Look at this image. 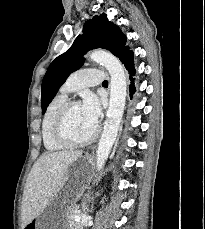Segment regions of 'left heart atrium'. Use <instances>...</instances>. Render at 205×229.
I'll list each match as a JSON object with an SVG mask.
<instances>
[{"label": "left heart atrium", "instance_id": "left-heart-atrium-1", "mask_svg": "<svg viewBox=\"0 0 205 229\" xmlns=\"http://www.w3.org/2000/svg\"><path fill=\"white\" fill-rule=\"evenodd\" d=\"M81 107L88 119L94 124H97L101 113V105L98 97L92 93H87L83 98Z\"/></svg>", "mask_w": 205, "mask_h": 229}]
</instances>
